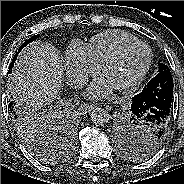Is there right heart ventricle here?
Masks as SVG:
<instances>
[{"mask_svg":"<svg viewBox=\"0 0 184 184\" xmlns=\"http://www.w3.org/2000/svg\"><path fill=\"white\" fill-rule=\"evenodd\" d=\"M137 38L123 31L112 30L94 36L87 45L93 61L99 66L121 45Z\"/></svg>","mask_w":184,"mask_h":184,"instance_id":"right-heart-ventricle-1","label":"right heart ventricle"}]
</instances>
